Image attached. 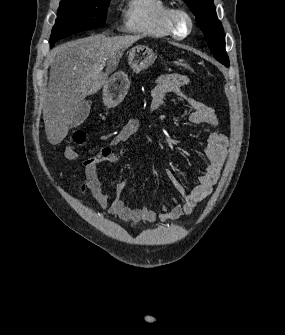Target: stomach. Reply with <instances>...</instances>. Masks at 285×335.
Returning a JSON list of instances; mask_svg holds the SVG:
<instances>
[{"mask_svg": "<svg viewBox=\"0 0 285 335\" xmlns=\"http://www.w3.org/2000/svg\"><path fill=\"white\" fill-rule=\"evenodd\" d=\"M128 60L131 68L134 72H140V70H147L151 64H154L156 60V54H154L151 48L147 46H136L128 52ZM129 80L127 74L124 72H116L113 74L106 84H104L103 96L108 106H117L125 98L129 90Z\"/></svg>", "mask_w": 285, "mask_h": 335, "instance_id": "0dacf381", "label": "stomach"}]
</instances>
